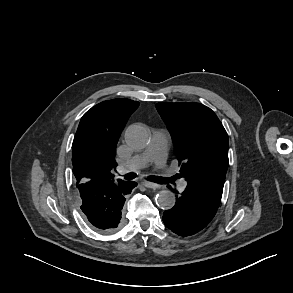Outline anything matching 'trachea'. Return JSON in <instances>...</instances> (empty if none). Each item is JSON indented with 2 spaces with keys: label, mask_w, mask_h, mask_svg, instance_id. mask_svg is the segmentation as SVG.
<instances>
[{
  "label": "trachea",
  "mask_w": 293,
  "mask_h": 293,
  "mask_svg": "<svg viewBox=\"0 0 293 293\" xmlns=\"http://www.w3.org/2000/svg\"><path fill=\"white\" fill-rule=\"evenodd\" d=\"M135 174L134 173H128L124 176L125 179H134L135 178ZM174 178H162V177H157V176H150L149 180L152 181H157V182H161V183H170L173 181Z\"/></svg>",
  "instance_id": "trachea-1"
}]
</instances>
